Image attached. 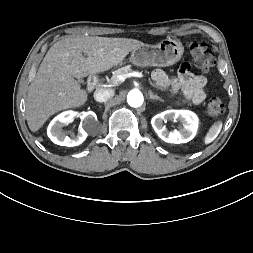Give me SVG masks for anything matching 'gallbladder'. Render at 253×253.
<instances>
[{
  "instance_id": "1",
  "label": "gallbladder",
  "mask_w": 253,
  "mask_h": 253,
  "mask_svg": "<svg viewBox=\"0 0 253 253\" xmlns=\"http://www.w3.org/2000/svg\"><path fill=\"white\" fill-rule=\"evenodd\" d=\"M78 82H79V83H82V84L84 83V81L81 80V79H78Z\"/></svg>"
}]
</instances>
